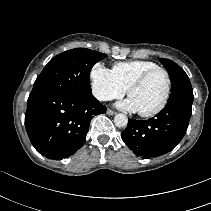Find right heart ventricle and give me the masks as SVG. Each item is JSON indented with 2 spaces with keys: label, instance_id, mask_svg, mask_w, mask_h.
<instances>
[{
  "label": "right heart ventricle",
  "instance_id": "e07e8e85",
  "mask_svg": "<svg viewBox=\"0 0 211 211\" xmlns=\"http://www.w3.org/2000/svg\"><path fill=\"white\" fill-rule=\"evenodd\" d=\"M157 67L152 61L134 60L115 63L111 71L118 83L127 90L143 73Z\"/></svg>",
  "mask_w": 211,
  "mask_h": 211
}]
</instances>
